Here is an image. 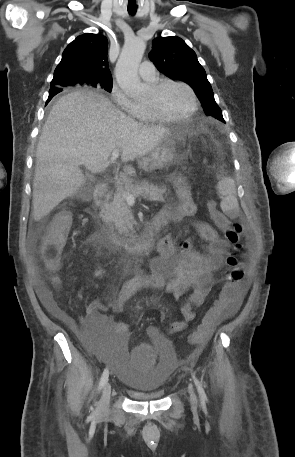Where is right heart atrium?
Returning a JSON list of instances; mask_svg holds the SVG:
<instances>
[{
  "instance_id": "d8ad5b80",
  "label": "right heart atrium",
  "mask_w": 295,
  "mask_h": 457,
  "mask_svg": "<svg viewBox=\"0 0 295 457\" xmlns=\"http://www.w3.org/2000/svg\"><path fill=\"white\" fill-rule=\"evenodd\" d=\"M111 97L119 108L136 117L139 111L138 104L132 101L117 84H114L111 88Z\"/></svg>"
}]
</instances>
